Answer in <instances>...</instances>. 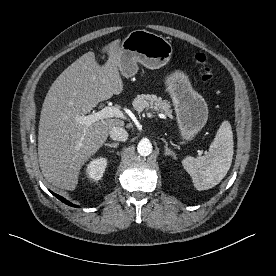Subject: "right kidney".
<instances>
[{
  "label": "right kidney",
  "mask_w": 276,
  "mask_h": 276,
  "mask_svg": "<svg viewBox=\"0 0 276 276\" xmlns=\"http://www.w3.org/2000/svg\"><path fill=\"white\" fill-rule=\"evenodd\" d=\"M107 166V159L104 157H99L92 159L86 168V175L89 179L93 181H98L103 176L105 168Z\"/></svg>",
  "instance_id": "ca27d5eb"
}]
</instances>
